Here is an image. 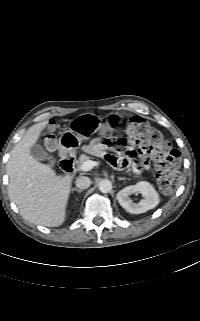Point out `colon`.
Masks as SVG:
<instances>
[{
    "label": "colon",
    "instance_id": "obj_1",
    "mask_svg": "<svg viewBox=\"0 0 200 321\" xmlns=\"http://www.w3.org/2000/svg\"><path fill=\"white\" fill-rule=\"evenodd\" d=\"M129 141L133 142L144 154L155 163L157 183L166 194L172 193L180 183V154L164 139L159 130L152 127L144 119L133 117L126 128ZM48 149L55 148V139L48 135L45 138Z\"/></svg>",
    "mask_w": 200,
    "mask_h": 321
}]
</instances>
